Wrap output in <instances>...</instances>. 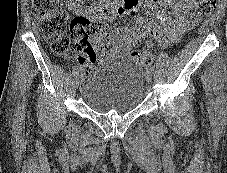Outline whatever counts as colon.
Wrapping results in <instances>:
<instances>
[{
  "instance_id": "obj_1",
  "label": "colon",
  "mask_w": 227,
  "mask_h": 173,
  "mask_svg": "<svg viewBox=\"0 0 227 173\" xmlns=\"http://www.w3.org/2000/svg\"><path fill=\"white\" fill-rule=\"evenodd\" d=\"M216 0H199L198 11L209 16L215 7ZM32 9L43 37L50 42L52 51L59 56L67 57L74 49L88 58L94 57L90 42L91 34L108 32L107 26L100 21L86 18H71L62 8L61 0H32ZM132 58L147 65L152 58L147 51H133ZM90 71H86V76Z\"/></svg>"
}]
</instances>
